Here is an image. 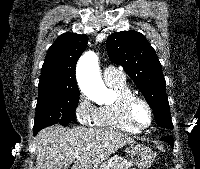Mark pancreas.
<instances>
[{
    "instance_id": "1",
    "label": "pancreas",
    "mask_w": 200,
    "mask_h": 169,
    "mask_svg": "<svg viewBox=\"0 0 200 169\" xmlns=\"http://www.w3.org/2000/svg\"><path fill=\"white\" fill-rule=\"evenodd\" d=\"M131 166V162L123 158L115 157L104 162L98 169H130Z\"/></svg>"
}]
</instances>
